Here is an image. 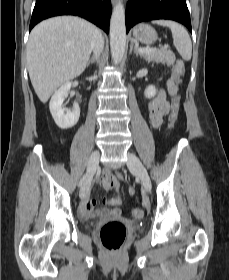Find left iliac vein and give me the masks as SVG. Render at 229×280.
I'll return each mask as SVG.
<instances>
[{"label": "left iliac vein", "mask_w": 229, "mask_h": 280, "mask_svg": "<svg viewBox=\"0 0 229 280\" xmlns=\"http://www.w3.org/2000/svg\"><path fill=\"white\" fill-rule=\"evenodd\" d=\"M127 166L131 171H134L136 175L140 178L142 185L144 186L147 192L151 191V180L148 175V172L140 159L132 154L128 153Z\"/></svg>", "instance_id": "1"}]
</instances>
